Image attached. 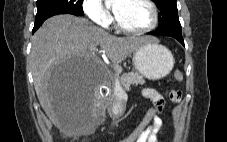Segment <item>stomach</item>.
Segmentation results:
<instances>
[{"mask_svg": "<svg viewBox=\"0 0 227 142\" xmlns=\"http://www.w3.org/2000/svg\"><path fill=\"white\" fill-rule=\"evenodd\" d=\"M136 71L149 80L166 77L174 66V58L169 49L156 41H149L138 47L132 57ZM125 102L119 101L112 112L116 116L123 114Z\"/></svg>", "mask_w": 227, "mask_h": 142, "instance_id": "1", "label": "stomach"}]
</instances>
